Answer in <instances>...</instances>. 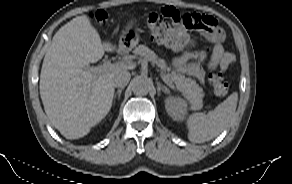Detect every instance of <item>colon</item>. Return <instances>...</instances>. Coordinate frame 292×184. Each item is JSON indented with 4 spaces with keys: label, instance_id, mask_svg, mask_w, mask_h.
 Wrapping results in <instances>:
<instances>
[{
    "label": "colon",
    "instance_id": "5ec220e1",
    "mask_svg": "<svg viewBox=\"0 0 292 184\" xmlns=\"http://www.w3.org/2000/svg\"><path fill=\"white\" fill-rule=\"evenodd\" d=\"M99 23H106L108 16L103 11L95 13ZM145 20L153 41L165 45L173 50L191 49L189 37L183 31L198 29L209 25L208 18L199 13H182L174 7H165L159 12L146 14ZM209 81L215 95L225 97L228 93V84L223 80L221 73L211 74Z\"/></svg>",
    "mask_w": 292,
    "mask_h": 184
}]
</instances>
